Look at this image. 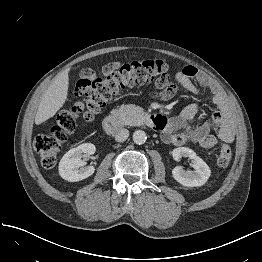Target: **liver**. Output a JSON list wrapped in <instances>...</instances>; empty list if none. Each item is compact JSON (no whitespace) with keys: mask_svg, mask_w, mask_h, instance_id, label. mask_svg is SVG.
<instances>
[{"mask_svg":"<svg viewBox=\"0 0 262 262\" xmlns=\"http://www.w3.org/2000/svg\"><path fill=\"white\" fill-rule=\"evenodd\" d=\"M69 71L70 68L56 75L45 91L35 116L36 125H40L53 117L63 106L68 95Z\"/></svg>","mask_w":262,"mask_h":262,"instance_id":"1","label":"liver"}]
</instances>
